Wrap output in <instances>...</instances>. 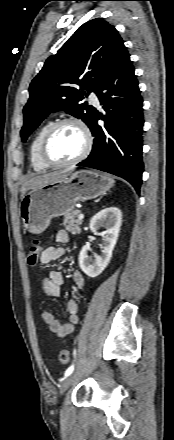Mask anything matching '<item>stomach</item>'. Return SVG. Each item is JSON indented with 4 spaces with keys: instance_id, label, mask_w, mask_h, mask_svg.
<instances>
[{
    "instance_id": "obj_1",
    "label": "stomach",
    "mask_w": 174,
    "mask_h": 440,
    "mask_svg": "<svg viewBox=\"0 0 174 440\" xmlns=\"http://www.w3.org/2000/svg\"><path fill=\"white\" fill-rule=\"evenodd\" d=\"M114 185L112 177L80 170L31 189L20 203L19 214L26 230L43 232L54 217L73 211L76 203L98 197Z\"/></svg>"
}]
</instances>
